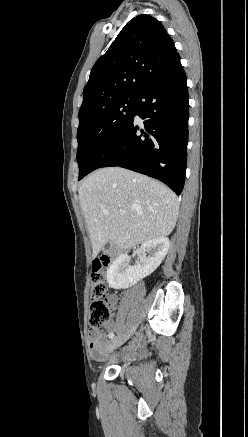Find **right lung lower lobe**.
<instances>
[{
    "label": "right lung lower lobe",
    "instance_id": "98d812e1",
    "mask_svg": "<svg viewBox=\"0 0 248 437\" xmlns=\"http://www.w3.org/2000/svg\"><path fill=\"white\" fill-rule=\"evenodd\" d=\"M135 98L133 117L97 156L90 172L123 167L156 178L180 195L187 164L189 96L179 55Z\"/></svg>",
    "mask_w": 248,
    "mask_h": 437
}]
</instances>
